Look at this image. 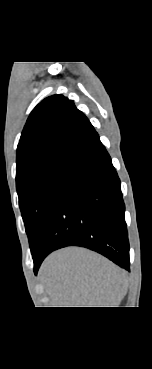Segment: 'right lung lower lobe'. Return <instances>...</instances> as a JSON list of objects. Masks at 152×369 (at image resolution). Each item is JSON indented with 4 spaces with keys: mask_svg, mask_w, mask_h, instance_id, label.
<instances>
[{
    "mask_svg": "<svg viewBox=\"0 0 152 369\" xmlns=\"http://www.w3.org/2000/svg\"><path fill=\"white\" fill-rule=\"evenodd\" d=\"M120 180L99 141L69 173L32 252L34 272L52 251L94 250L129 270V242Z\"/></svg>",
    "mask_w": 152,
    "mask_h": 369,
    "instance_id": "1",
    "label": "right lung lower lobe"
}]
</instances>
